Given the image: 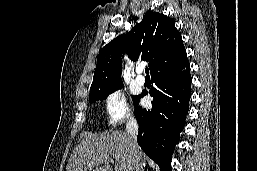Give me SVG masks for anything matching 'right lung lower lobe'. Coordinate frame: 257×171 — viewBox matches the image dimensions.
Instances as JSON below:
<instances>
[{"mask_svg":"<svg viewBox=\"0 0 257 171\" xmlns=\"http://www.w3.org/2000/svg\"><path fill=\"white\" fill-rule=\"evenodd\" d=\"M155 83L149 94L154 99L152 109L138 106L141 94L134 101L139 124L137 141L161 171H171V157L184 128L191 98L190 64L186 58L176 66L152 75Z\"/></svg>","mask_w":257,"mask_h":171,"instance_id":"obj_1","label":"right lung lower lobe"}]
</instances>
